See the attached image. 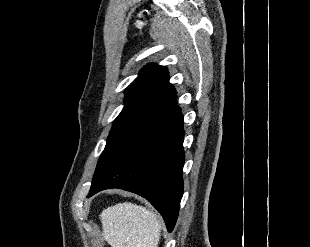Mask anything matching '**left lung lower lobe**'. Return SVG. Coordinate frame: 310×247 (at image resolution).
<instances>
[{
  "label": "left lung lower lobe",
  "instance_id": "0a47b994",
  "mask_svg": "<svg viewBox=\"0 0 310 247\" xmlns=\"http://www.w3.org/2000/svg\"><path fill=\"white\" fill-rule=\"evenodd\" d=\"M183 115L174 106L143 130L105 173L91 185L87 197L108 188H121L146 198L175 226L183 195Z\"/></svg>",
  "mask_w": 310,
  "mask_h": 247
}]
</instances>
